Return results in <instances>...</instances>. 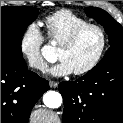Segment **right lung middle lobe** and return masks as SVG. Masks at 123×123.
Returning a JSON list of instances; mask_svg holds the SVG:
<instances>
[{"instance_id": "right-lung-middle-lobe-1", "label": "right lung middle lobe", "mask_w": 123, "mask_h": 123, "mask_svg": "<svg viewBox=\"0 0 123 123\" xmlns=\"http://www.w3.org/2000/svg\"><path fill=\"white\" fill-rule=\"evenodd\" d=\"M37 16L32 7H1V51L22 57V36Z\"/></svg>"}]
</instances>
